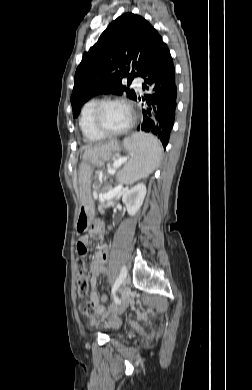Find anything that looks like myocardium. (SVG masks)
I'll return each instance as SVG.
<instances>
[{
    "instance_id": "f54148a6",
    "label": "myocardium",
    "mask_w": 252,
    "mask_h": 390,
    "mask_svg": "<svg viewBox=\"0 0 252 390\" xmlns=\"http://www.w3.org/2000/svg\"><path fill=\"white\" fill-rule=\"evenodd\" d=\"M112 103H121V104L126 105L131 113V119H130L129 123L124 128L119 129V130L105 129L101 123V120H100V115H101L103 108L106 105L112 104ZM136 120H137V115H136V112H135V109H134L132 103L126 99H123V98H108V99L100 100L96 104V106L94 107V110L92 113V123H93L94 128L101 135H103L105 137H114V136H120V135L126 134L127 132H129L133 128V126L136 123Z\"/></svg>"
}]
</instances>
